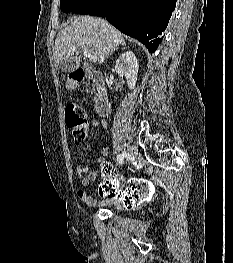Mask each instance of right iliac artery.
Segmentation results:
<instances>
[{
	"mask_svg": "<svg viewBox=\"0 0 233 263\" xmlns=\"http://www.w3.org/2000/svg\"><path fill=\"white\" fill-rule=\"evenodd\" d=\"M128 154L125 152V153H122V154H119L117 155V162L122 165L124 163V158L127 157Z\"/></svg>",
	"mask_w": 233,
	"mask_h": 263,
	"instance_id": "right-iliac-artery-1",
	"label": "right iliac artery"
}]
</instances>
